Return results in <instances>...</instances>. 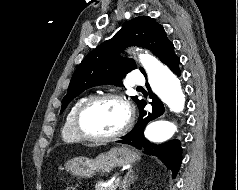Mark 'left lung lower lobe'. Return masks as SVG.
Returning a JSON list of instances; mask_svg holds the SVG:
<instances>
[{
    "label": "left lung lower lobe",
    "mask_w": 238,
    "mask_h": 190,
    "mask_svg": "<svg viewBox=\"0 0 238 190\" xmlns=\"http://www.w3.org/2000/svg\"><path fill=\"white\" fill-rule=\"evenodd\" d=\"M177 76L181 75L179 69L180 59L173 52H171L163 61ZM153 100L151 111L144 110L146 102L141 100L138 103L139 119L135 127L122 139L119 143L128 144L143 151V153L155 155L160 158L169 168H171L173 175L177 174L182 160V149L179 140H172L165 144H154L148 141L144 135L143 130L145 126L152 120L160 117L165 109L163 103L153 93H150Z\"/></svg>",
    "instance_id": "1"
}]
</instances>
